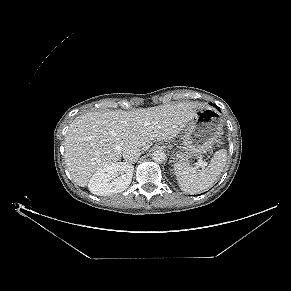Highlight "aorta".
Listing matches in <instances>:
<instances>
[{
    "mask_svg": "<svg viewBox=\"0 0 291 291\" xmlns=\"http://www.w3.org/2000/svg\"><path fill=\"white\" fill-rule=\"evenodd\" d=\"M152 159L156 162V163H162L165 161L166 159V154L164 153V151L162 150H156L153 152L152 154Z\"/></svg>",
    "mask_w": 291,
    "mask_h": 291,
    "instance_id": "aorta-1",
    "label": "aorta"
}]
</instances>
